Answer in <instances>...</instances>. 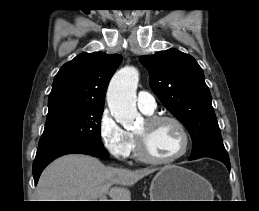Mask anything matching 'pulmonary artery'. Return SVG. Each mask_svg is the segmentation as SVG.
<instances>
[{
	"instance_id": "obj_1",
	"label": "pulmonary artery",
	"mask_w": 259,
	"mask_h": 211,
	"mask_svg": "<svg viewBox=\"0 0 259 211\" xmlns=\"http://www.w3.org/2000/svg\"><path fill=\"white\" fill-rule=\"evenodd\" d=\"M138 108L145 114H152L156 109V101L153 95L146 91H140L137 96Z\"/></svg>"
}]
</instances>
